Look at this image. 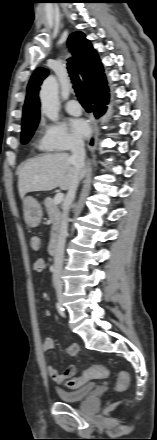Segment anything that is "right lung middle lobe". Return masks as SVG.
<instances>
[{"label": "right lung middle lobe", "mask_w": 157, "mask_h": 440, "mask_svg": "<svg viewBox=\"0 0 157 440\" xmlns=\"http://www.w3.org/2000/svg\"><path fill=\"white\" fill-rule=\"evenodd\" d=\"M37 123L27 124L22 126L21 139L22 143H27L34 133Z\"/></svg>", "instance_id": "obj_1"}]
</instances>
